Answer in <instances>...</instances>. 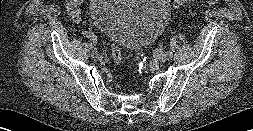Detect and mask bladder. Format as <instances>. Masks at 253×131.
I'll return each instance as SVG.
<instances>
[{
    "label": "bladder",
    "instance_id": "obj_1",
    "mask_svg": "<svg viewBox=\"0 0 253 131\" xmlns=\"http://www.w3.org/2000/svg\"><path fill=\"white\" fill-rule=\"evenodd\" d=\"M90 13L116 46L135 49L162 33L170 7L167 0H92Z\"/></svg>",
    "mask_w": 253,
    "mask_h": 131
}]
</instances>
